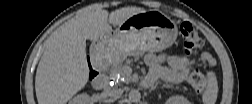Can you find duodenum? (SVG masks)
Wrapping results in <instances>:
<instances>
[{"mask_svg":"<svg viewBox=\"0 0 252 104\" xmlns=\"http://www.w3.org/2000/svg\"><path fill=\"white\" fill-rule=\"evenodd\" d=\"M108 84V79L105 74H100L98 75L94 82H93V87L97 90H105Z\"/></svg>","mask_w":252,"mask_h":104,"instance_id":"410a0bca","label":"duodenum"}]
</instances>
